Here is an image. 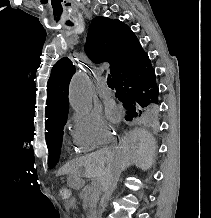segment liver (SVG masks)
Returning a JSON list of instances; mask_svg holds the SVG:
<instances>
[{
  "mask_svg": "<svg viewBox=\"0 0 211 218\" xmlns=\"http://www.w3.org/2000/svg\"><path fill=\"white\" fill-rule=\"evenodd\" d=\"M155 144L144 130H131L121 138L116 150H100L95 154L82 156L79 158L80 166L85 168L86 178H96L97 182H105L114 168L126 170L129 166H137L141 170H148L153 164Z\"/></svg>",
  "mask_w": 211,
  "mask_h": 218,
  "instance_id": "liver-1",
  "label": "liver"
}]
</instances>
